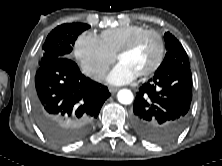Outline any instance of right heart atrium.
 Returning <instances> with one entry per match:
<instances>
[{
  "instance_id": "d8ad5b80",
  "label": "right heart atrium",
  "mask_w": 222,
  "mask_h": 166,
  "mask_svg": "<svg viewBox=\"0 0 222 166\" xmlns=\"http://www.w3.org/2000/svg\"><path fill=\"white\" fill-rule=\"evenodd\" d=\"M74 55L82 72L95 81L103 78L115 60V56L105 48L100 38L92 33L78 36L74 45Z\"/></svg>"
}]
</instances>
